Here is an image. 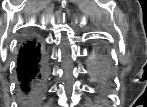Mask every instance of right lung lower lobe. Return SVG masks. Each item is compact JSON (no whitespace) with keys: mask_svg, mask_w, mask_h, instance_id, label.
I'll list each match as a JSON object with an SVG mask.
<instances>
[{"mask_svg":"<svg viewBox=\"0 0 147 107\" xmlns=\"http://www.w3.org/2000/svg\"><path fill=\"white\" fill-rule=\"evenodd\" d=\"M17 77L22 101L27 107L41 99L47 80L45 56L36 39H25L19 49Z\"/></svg>","mask_w":147,"mask_h":107,"instance_id":"right-lung-lower-lobe-1","label":"right lung lower lobe"}]
</instances>
